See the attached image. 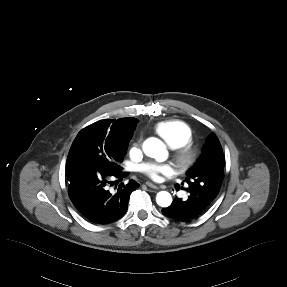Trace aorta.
Wrapping results in <instances>:
<instances>
[{
  "instance_id": "762f6f07",
  "label": "aorta",
  "mask_w": 287,
  "mask_h": 287,
  "mask_svg": "<svg viewBox=\"0 0 287 287\" xmlns=\"http://www.w3.org/2000/svg\"><path fill=\"white\" fill-rule=\"evenodd\" d=\"M143 151L147 156L155 158L158 161H164L168 155L165 144L154 137L148 138L144 141ZM156 202L161 207L170 206L172 203L171 194L167 191L158 192Z\"/></svg>"
}]
</instances>
